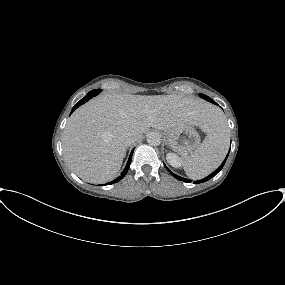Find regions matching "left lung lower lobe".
Instances as JSON below:
<instances>
[{
  "label": "left lung lower lobe",
  "mask_w": 285,
  "mask_h": 285,
  "mask_svg": "<svg viewBox=\"0 0 285 285\" xmlns=\"http://www.w3.org/2000/svg\"><path fill=\"white\" fill-rule=\"evenodd\" d=\"M215 104H216V103H215ZM227 156H228V155H227ZM226 159H227V157H226ZM226 159H225V160L223 161V163L219 166V168L216 169L213 173H211V174L208 175L207 177L203 178L202 180L195 181L194 183H195V184L203 183V182L208 181V180L211 179L212 177H214V176L222 169V167H223L224 164H225ZM168 171H169L176 179H178V180H180V181H184V182H187V183H190V182H191V180H189V179H186V178H183V177H180V176L174 174V173L171 172L169 169H168Z\"/></svg>",
  "instance_id": "1"
}]
</instances>
